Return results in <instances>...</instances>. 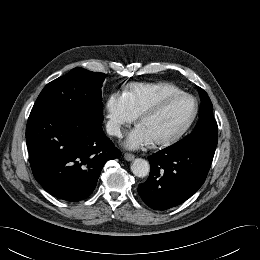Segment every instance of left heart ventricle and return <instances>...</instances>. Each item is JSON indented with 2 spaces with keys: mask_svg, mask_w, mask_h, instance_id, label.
Segmentation results:
<instances>
[{
  "mask_svg": "<svg viewBox=\"0 0 260 260\" xmlns=\"http://www.w3.org/2000/svg\"><path fill=\"white\" fill-rule=\"evenodd\" d=\"M192 109V101L186 97H176L166 102L160 110L145 118L140 124L152 139L162 138L176 131L187 119Z\"/></svg>",
  "mask_w": 260,
  "mask_h": 260,
  "instance_id": "left-heart-ventricle-1",
  "label": "left heart ventricle"
}]
</instances>
